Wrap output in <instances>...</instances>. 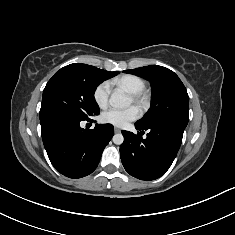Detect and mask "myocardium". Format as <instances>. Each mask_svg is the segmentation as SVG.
<instances>
[{
  "instance_id": "f54148a6",
  "label": "myocardium",
  "mask_w": 235,
  "mask_h": 235,
  "mask_svg": "<svg viewBox=\"0 0 235 235\" xmlns=\"http://www.w3.org/2000/svg\"><path fill=\"white\" fill-rule=\"evenodd\" d=\"M131 100L134 104L141 108L146 105V97L142 92L131 94Z\"/></svg>"
}]
</instances>
